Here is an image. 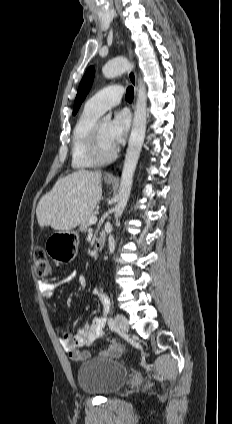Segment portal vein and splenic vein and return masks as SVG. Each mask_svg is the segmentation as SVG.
Listing matches in <instances>:
<instances>
[{
	"label": "portal vein and splenic vein",
	"instance_id": "obj_1",
	"mask_svg": "<svg viewBox=\"0 0 232 424\" xmlns=\"http://www.w3.org/2000/svg\"><path fill=\"white\" fill-rule=\"evenodd\" d=\"M89 222L90 224H95L97 222V217H91Z\"/></svg>",
	"mask_w": 232,
	"mask_h": 424
}]
</instances>
